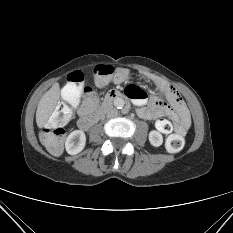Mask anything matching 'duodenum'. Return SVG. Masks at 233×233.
I'll return each instance as SVG.
<instances>
[{
  "mask_svg": "<svg viewBox=\"0 0 233 233\" xmlns=\"http://www.w3.org/2000/svg\"><path fill=\"white\" fill-rule=\"evenodd\" d=\"M124 94L120 91H111L108 93L101 105V107L92 115L81 117L78 121V126L82 130H88L92 127L103 115V113L108 109L113 101L124 98Z\"/></svg>",
  "mask_w": 233,
  "mask_h": 233,
  "instance_id": "obj_1",
  "label": "duodenum"
}]
</instances>
